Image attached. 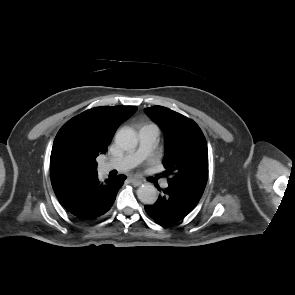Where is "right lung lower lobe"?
Segmentation results:
<instances>
[{"label":"right lung lower lobe","mask_w":295,"mask_h":295,"mask_svg":"<svg viewBox=\"0 0 295 295\" xmlns=\"http://www.w3.org/2000/svg\"><path fill=\"white\" fill-rule=\"evenodd\" d=\"M125 176L101 181L98 175L72 179H51L55 195L75 218L89 222L102 217L112 207Z\"/></svg>","instance_id":"obj_1"}]
</instances>
